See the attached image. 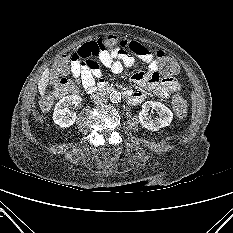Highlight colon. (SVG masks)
<instances>
[{
  "mask_svg": "<svg viewBox=\"0 0 233 233\" xmlns=\"http://www.w3.org/2000/svg\"><path fill=\"white\" fill-rule=\"evenodd\" d=\"M100 43L98 47L91 46L89 55L94 54L97 49L115 50L120 46L119 38L116 36H106L99 39ZM155 58L159 63L160 72L164 76H171L179 71V65L177 61L170 55L163 51H157ZM67 59L66 57H60L55 63V69L51 75L52 79L56 82V86L47 96V103L51 104L56 98L72 93L76 91V85L73 81L62 77L67 71ZM172 108L179 118H185L187 116V103L185 99L175 94L172 96Z\"/></svg>",
  "mask_w": 233,
  "mask_h": 233,
  "instance_id": "1",
  "label": "colon"
}]
</instances>
